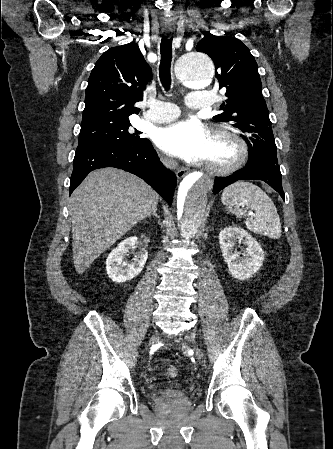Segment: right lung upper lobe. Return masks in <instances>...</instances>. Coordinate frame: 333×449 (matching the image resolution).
Listing matches in <instances>:
<instances>
[{"instance_id":"obj_1","label":"right lung upper lobe","mask_w":333,"mask_h":449,"mask_svg":"<svg viewBox=\"0 0 333 449\" xmlns=\"http://www.w3.org/2000/svg\"><path fill=\"white\" fill-rule=\"evenodd\" d=\"M151 69L139 46L129 43L104 52L93 68L86 88L81 127L129 120L138 114L133 106L142 101Z\"/></svg>"}]
</instances>
